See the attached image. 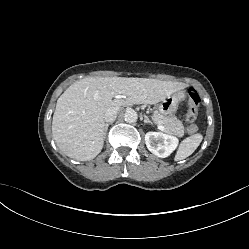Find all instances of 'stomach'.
<instances>
[{
	"label": "stomach",
	"instance_id": "obj_1",
	"mask_svg": "<svg viewBox=\"0 0 249 249\" xmlns=\"http://www.w3.org/2000/svg\"><path fill=\"white\" fill-rule=\"evenodd\" d=\"M179 101L180 97L177 93H174L162 100L158 105V110L162 115L172 117L177 111Z\"/></svg>",
	"mask_w": 249,
	"mask_h": 249
}]
</instances>
